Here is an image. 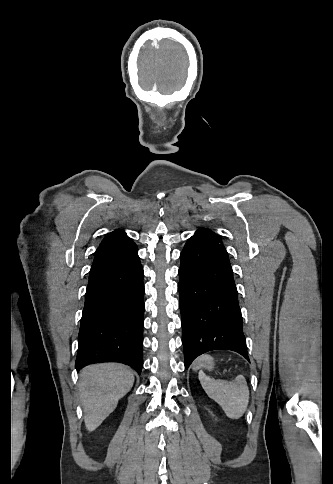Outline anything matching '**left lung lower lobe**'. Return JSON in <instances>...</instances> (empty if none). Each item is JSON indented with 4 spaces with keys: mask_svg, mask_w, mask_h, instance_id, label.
Segmentation results:
<instances>
[{
    "mask_svg": "<svg viewBox=\"0 0 333 484\" xmlns=\"http://www.w3.org/2000/svg\"><path fill=\"white\" fill-rule=\"evenodd\" d=\"M178 291L186 369L199 355L232 350L249 360L233 271L221 238L199 229L181 255Z\"/></svg>",
    "mask_w": 333,
    "mask_h": 484,
    "instance_id": "left-lung-lower-lobe-1",
    "label": "left lung lower lobe"
}]
</instances>
